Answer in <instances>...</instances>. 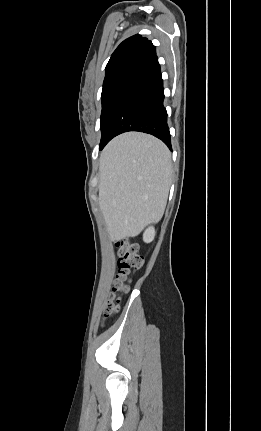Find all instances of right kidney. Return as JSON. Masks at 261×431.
Here are the masks:
<instances>
[{"instance_id": "ca27d5eb", "label": "right kidney", "mask_w": 261, "mask_h": 431, "mask_svg": "<svg viewBox=\"0 0 261 431\" xmlns=\"http://www.w3.org/2000/svg\"><path fill=\"white\" fill-rule=\"evenodd\" d=\"M155 237V229L153 227H149L145 230L143 234V240L146 243L151 242Z\"/></svg>"}]
</instances>
